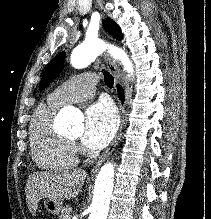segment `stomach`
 I'll use <instances>...</instances> for the list:
<instances>
[{
  "label": "stomach",
  "mask_w": 211,
  "mask_h": 219,
  "mask_svg": "<svg viewBox=\"0 0 211 219\" xmlns=\"http://www.w3.org/2000/svg\"><path fill=\"white\" fill-rule=\"evenodd\" d=\"M44 207L49 213L54 215H58L62 211V203L49 198L44 199Z\"/></svg>",
  "instance_id": "stomach-1"
}]
</instances>
